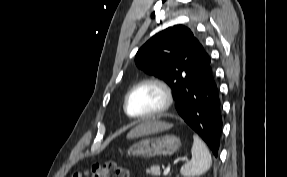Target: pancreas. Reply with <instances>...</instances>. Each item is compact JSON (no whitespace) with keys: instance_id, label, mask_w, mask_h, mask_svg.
Here are the masks:
<instances>
[{"instance_id":"cf45deb5","label":"pancreas","mask_w":287,"mask_h":177,"mask_svg":"<svg viewBox=\"0 0 287 177\" xmlns=\"http://www.w3.org/2000/svg\"><path fill=\"white\" fill-rule=\"evenodd\" d=\"M147 174H152L153 176H158L160 174V167L159 166H151L149 169L146 170Z\"/></svg>"}]
</instances>
